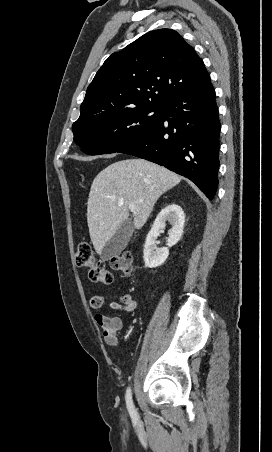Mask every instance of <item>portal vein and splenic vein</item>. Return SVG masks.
<instances>
[{"mask_svg":"<svg viewBox=\"0 0 272 452\" xmlns=\"http://www.w3.org/2000/svg\"><path fill=\"white\" fill-rule=\"evenodd\" d=\"M129 209L131 212H134L136 209L135 204L134 203L129 204Z\"/></svg>","mask_w":272,"mask_h":452,"instance_id":"1","label":"portal vein and splenic vein"}]
</instances>
